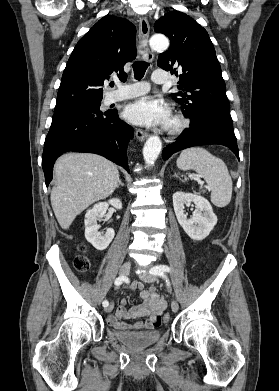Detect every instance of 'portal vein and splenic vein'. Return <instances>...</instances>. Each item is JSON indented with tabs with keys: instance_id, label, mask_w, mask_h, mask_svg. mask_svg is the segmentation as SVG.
<instances>
[{
	"instance_id": "1",
	"label": "portal vein and splenic vein",
	"mask_w": 279,
	"mask_h": 391,
	"mask_svg": "<svg viewBox=\"0 0 279 391\" xmlns=\"http://www.w3.org/2000/svg\"><path fill=\"white\" fill-rule=\"evenodd\" d=\"M200 185H201V187L203 186V182L202 181H200Z\"/></svg>"
}]
</instances>
